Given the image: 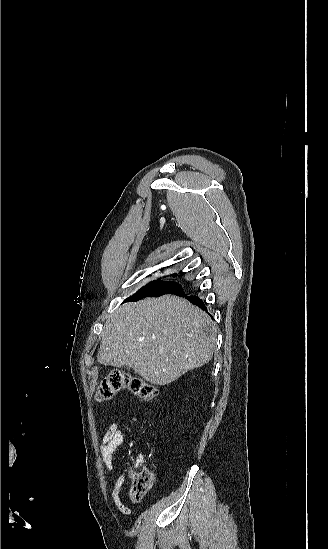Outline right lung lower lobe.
I'll list each match as a JSON object with an SVG mask.
<instances>
[{
	"mask_svg": "<svg viewBox=\"0 0 328 549\" xmlns=\"http://www.w3.org/2000/svg\"><path fill=\"white\" fill-rule=\"evenodd\" d=\"M184 294V293H183ZM175 295H178V294H175ZM189 301H191L192 303H195L196 305H198L199 307H201L202 309H205L206 310V307L203 303V301L199 298V297H196V296H187L186 297Z\"/></svg>",
	"mask_w": 328,
	"mask_h": 549,
	"instance_id": "right-lung-lower-lobe-1",
	"label": "right lung lower lobe"
}]
</instances>
